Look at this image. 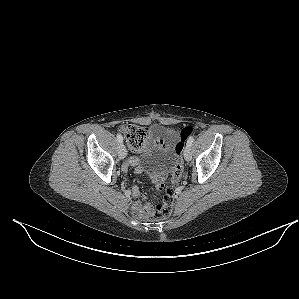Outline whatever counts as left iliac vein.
Listing matches in <instances>:
<instances>
[{
    "label": "left iliac vein",
    "instance_id": "1",
    "mask_svg": "<svg viewBox=\"0 0 299 299\" xmlns=\"http://www.w3.org/2000/svg\"><path fill=\"white\" fill-rule=\"evenodd\" d=\"M184 158H185L186 161L191 160V148L188 145L184 149Z\"/></svg>",
    "mask_w": 299,
    "mask_h": 299
}]
</instances>
